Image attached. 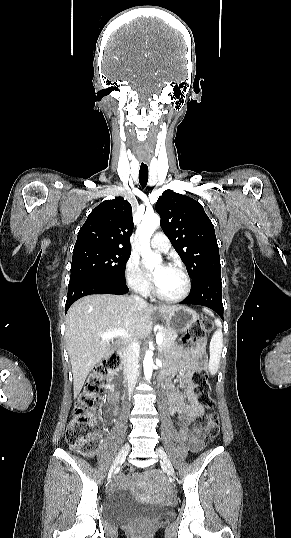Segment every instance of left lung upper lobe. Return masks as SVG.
I'll list each match as a JSON object with an SVG mask.
<instances>
[{
  "instance_id": "left-lung-upper-lobe-1",
  "label": "left lung upper lobe",
  "mask_w": 291,
  "mask_h": 538,
  "mask_svg": "<svg viewBox=\"0 0 291 538\" xmlns=\"http://www.w3.org/2000/svg\"><path fill=\"white\" fill-rule=\"evenodd\" d=\"M156 211L164 233L191 275L192 285L221 272L214 226L198 201L166 190L157 200Z\"/></svg>"
}]
</instances>
